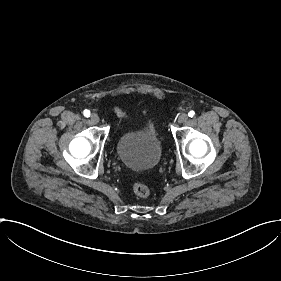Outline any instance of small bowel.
<instances>
[{
    "label": "small bowel",
    "mask_w": 281,
    "mask_h": 281,
    "mask_svg": "<svg viewBox=\"0 0 281 281\" xmlns=\"http://www.w3.org/2000/svg\"><path fill=\"white\" fill-rule=\"evenodd\" d=\"M110 113H112V114H119L120 111H119L118 108L112 106V107L110 108Z\"/></svg>",
    "instance_id": "1"
}]
</instances>
